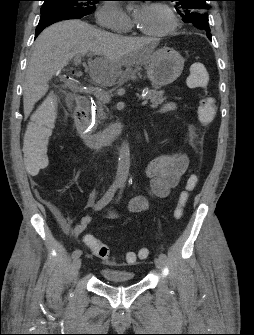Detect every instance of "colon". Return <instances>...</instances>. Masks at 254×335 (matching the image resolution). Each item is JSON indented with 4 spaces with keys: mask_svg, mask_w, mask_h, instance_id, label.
Instances as JSON below:
<instances>
[{
    "mask_svg": "<svg viewBox=\"0 0 254 335\" xmlns=\"http://www.w3.org/2000/svg\"><path fill=\"white\" fill-rule=\"evenodd\" d=\"M209 74L201 63H194L190 66V75L187 84L191 88L205 89L208 85ZM57 103L54 100H46L35 112L32 121L26 128L24 134L22 151V171L31 172L32 178H41L42 172H47L49 164V145L48 138L54 127L57 116ZM217 110L215 99L207 92L202 97L198 108V118L202 125L207 126L214 120ZM197 177L192 175L188 178L186 188L180 192L177 205L174 210V218L180 221L184 217L185 206L187 205L192 191L197 185ZM86 244L98 257L109 258V249L103 242L94 238H87ZM146 249L140 250L138 253L127 252L124 256V264L134 265L139 259L147 256Z\"/></svg>",
    "mask_w": 254,
    "mask_h": 335,
    "instance_id": "1",
    "label": "colon"
}]
</instances>
